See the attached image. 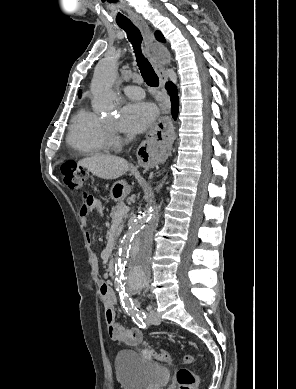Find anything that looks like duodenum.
I'll use <instances>...</instances> for the list:
<instances>
[{
    "label": "duodenum",
    "mask_w": 296,
    "mask_h": 389,
    "mask_svg": "<svg viewBox=\"0 0 296 389\" xmlns=\"http://www.w3.org/2000/svg\"><path fill=\"white\" fill-rule=\"evenodd\" d=\"M116 260L111 258L108 262V269L113 274L115 272Z\"/></svg>",
    "instance_id": "1"
}]
</instances>
